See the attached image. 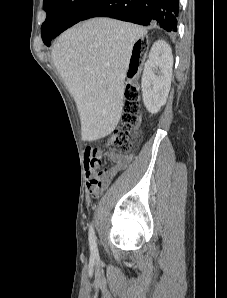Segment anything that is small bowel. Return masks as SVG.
I'll return each instance as SVG.
<instances>
[{
    "mask_svg": "<svg viewBox=\"0 0 227 298\" xmlns=\"http://www.w3.org/2000/svg\"><path fill=\"white\" fill-rule=\"evenodd\" d=\"M104 154L99 150V146H88L84 153V162L87 171L88 187L92 194H100L101 191L108 185L110 179H112L119 171L126 168L130 161V156L108 153L107 155L113 161V165L109 168H105L102 171H98L100 165V158ZM93 181H99V186L93 188L91 184Z\"/></svg>",
    "mask_w": 227,
    "mask_h": 298,
    "instance_id": "1",
    "label": "small bowel"
}]
</instances>
